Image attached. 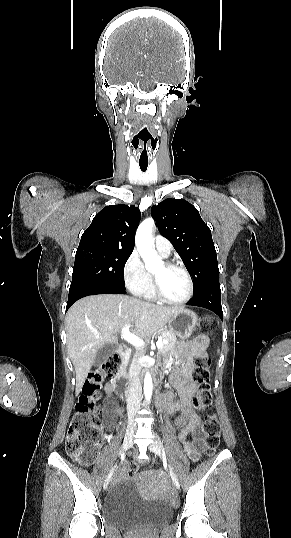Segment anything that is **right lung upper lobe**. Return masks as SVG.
<instances>
[{
	"label": "right lung upper lobe",
	"instance_id": "right-lung-upper-lobe-1",
	"mask_svg": "<svg viewBox=\"0 0 291 538\" xmlns=\"http://www.w3.org/2000/svg\"><path fill=\"white\" fill-rule=\"evenodd\" d=\"M141 213L134 205L106 206L83 233L77 251L112 249L133 251Z\"/></svg>",
	"mask_w": 291,
	"mask_h": 538
}]
</instances>
